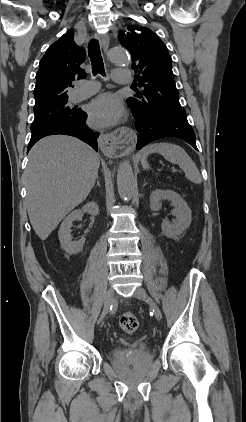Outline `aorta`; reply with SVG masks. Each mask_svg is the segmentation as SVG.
<instances>
[{"label":"aorta","mask_w":246,"mask_h":422,"mask_svg":"<svg viewBox=\"0 0 246 422\" xmlns=\"http://www.w3.org/2000/svg\"><path fill=\"white\" fill-rule=\"evenodd\" d=\"M109 59L113 63L126 65L130 58L124 49L114 47L110 49ZM117 187L120 197L128 201L132 198L134 192V174L129 161L124 160L119 164L117 171Z\"/></svg>","instance_id":"obj_1"}]
</instances>
